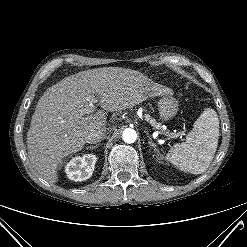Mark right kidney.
I'll return each mask as SVG.
<instances>
[{"label": "right kidney", "mask_w": 247, "mask_h": 247, "mask_svg": "<svg viewBox=\"0 0 247 247\" xmlns=\"http://www.w3.org/2000/svg\"><path fill=\"white\" fill-rule=\"evenodd\" d=\"M97 157L93 154H85L71 159L65 167L67 177L73 181H84L92 176Z\"/></svg>", "instance_id": "1"}]
</instances>
